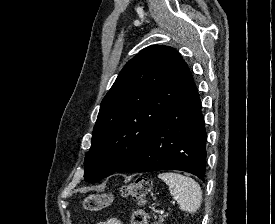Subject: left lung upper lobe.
Segmentation results:
<instances>
[{
	"instance_id": "1",
	"label": "left lung upper lobe",
	"mask_w": 275,
	"mask_h": 224,
	"mask_svg": "<svg viewBox=\"0 0 275 224\" xmlns=\"http://www.w3.org/2000/svg\"><path fill=\"white\" fill-rule=\"evenodd\" d=\"M192 83L187 64L172 47L149 46L129 60L101 102L85 179L128 171L153 128Z\"/></svg>"
}]
</instances>
